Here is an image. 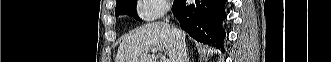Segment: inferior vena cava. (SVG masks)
Returning <instances> with one entry per match:
<instances>
[{"label":"inferior vena cava","instance_id":"obj_1","mask_svg":"<svg viewBox=\"0 0 331 62\" xmlns=\"http://www.w3.org/2000/svg\"><path fill=\"white\" fill-rule=\"evenodd\" d=\"M176 60L175 62H187V48L181 37L176 38Z\"/></svg>","mask_w":331,"mask_h":62}]
</instances>
